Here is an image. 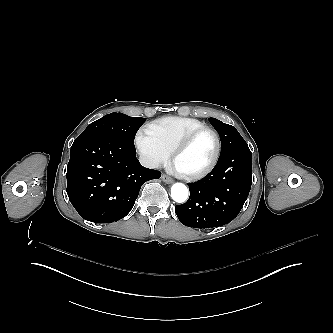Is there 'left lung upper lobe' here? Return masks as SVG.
<instances>
[{"label":"left lung upper lobe","mask_w":333,"mask_h":333,"mask_svg":"<svg viewBox=\"0 0 333 333\" xmlns=\"http://www.w3.org/2000/svg\"><path fill=\"white\" fill-rule=\"evenodd\" d=\"M209 121L218 131L221 139L220 157L238 147L247 146L245 140L233 126L225 124L215 118H209Z\"/></svg>","instance_id":"5c2ea615"}]
</instances>
